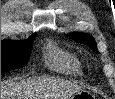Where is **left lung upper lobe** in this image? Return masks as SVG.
Returning <instances> with one entry per match:
<instances>
[{
  "instance_id": "1",
  "label": "left lung upper lobe",
  "mask_w": 115,
  "mask_h": 99,
  "mask_svg": "<svg viewBox=\"0 0 115 99\" xmlns=\"http://www.w3.org/2000/svg\"><path fill=\"white\" fill-rule=\"evenodd\" d=\"M69 36L79 43L88 45L94 52L99 53L94 38L89 34L74 33Z\"/></svg>"
}]
</instances>
